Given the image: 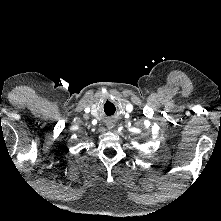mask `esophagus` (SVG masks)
<instances>
[{
	"instance_id": "1",
	"label": "esophagus",
	"mask_w": 221,
	"mask_h": 221,
	"mask_svg": "<svg viewBox=\"0 0 221 221\" xmlns=\"http://www.w3.org/2000/svg\"><path fill=\"white\" fill-rule=\"evenodd\" d=\"M113 126L114 125L112 123H109L107 127H108L109 130H111L113 128Z\"/></svg>"
}]
</instances>
